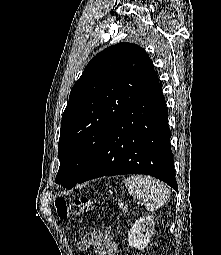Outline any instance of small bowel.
Returning a JSON list of instances; mask_svg holds the SVG:
<instances>
[{
  "mask_svg": "<svg viewBox=\"0 0 221 255\" xmlns=\"http://www.w3.org/2000/svg\"><path fill=\"white\" fill-rule=\"evenodd\" d=\"M92 248L96 255H118V245L111 228L104 231L92 228L80 240L79 250L86 251Z\"/></svg>",
  "mask_w": 221,
  "mask_h": 255,
  "instance_id": "obj_1",
  "label": "small bowel"
}]
</instances>
